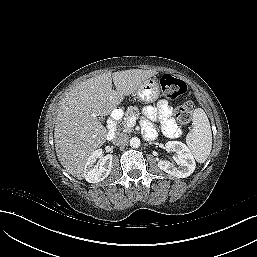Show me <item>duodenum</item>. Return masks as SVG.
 I'll list each match as a JSON object with an SVG mask.
<instances>
[{"label":"duodenum","instance_id":"410a0bca","mask_svg":"<svg viewBox=\"0 0 257 257\" xmlns=\"http://www.w3.org/2000/svg\"><path fill=\"white\" fill-rule=\"evenodd\" d=\"M116 136V120L112 119L108 123V135L107 138L109 141L113 140Z\"/></svg>","mask_w":257,"mask_h":257}]
</instances>
